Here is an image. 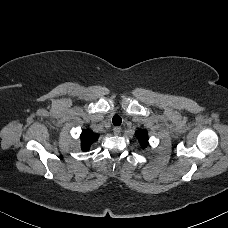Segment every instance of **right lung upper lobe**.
<instances>
[{
	"instance_id": "cb5924a9",
	"label": "right lung upper lobe",
	"mask_w": 228,
	"mask_h": 228,
	"mask_svg": "<svg viewBox=\"0 0 228 228\" xmlns=\"http://www.w3.org/2000/svg\"><path fill=\"white\" fill-rule=\"evenodd\" d=\"M99 135L96 133H93L89 129H85L82 131L80 135L81 139V148L83 151H87L90 149V146L93 142H95L98 139Z\"/></svg>"
}]
</instances>
